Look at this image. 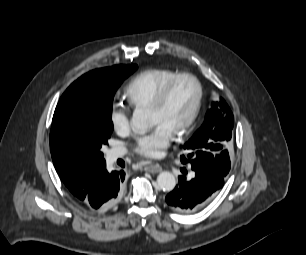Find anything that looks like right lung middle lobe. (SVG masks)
<instances>
[{
    "mask_svg": "<svg viewBox=\"0 0 306 255\" xmlns=\"http://www.w3.org/2000/svg\"><path fill=\"white\" fill-rule=\"evenodd\" d=\"M137 65H118L114 79L91 90H66L54 112L50 151L63 182L71 185L95 166L105 164L101 147L113 131L114 94Z\"/></svg>",
    "mask_w": 306,
    "mask_h": 255,
    "instance_id": "right-lung-middle-lobe-1",
    "label": "right lung middle lobe"
}]
</instances>
